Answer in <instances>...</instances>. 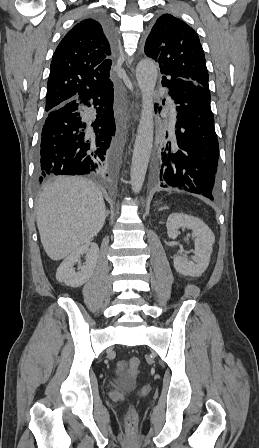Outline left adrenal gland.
Wrapping results in <instances>:
<instances>
[{
  "instance_id": "left-adrenal-gland-1",
  "label": "left adrenal gland",
  "mask_w": 259,
  "mask_h": 448,
  "mask_svg": "<svg viewBox=\"0 0 259 448\" xmlns=\"http://www.w3.org/2000/svg\"><path fill=\"white\" fill-rule=\"evenodd\" d=\"M160 210H169V208H167V206H163V208H160Z\"/></svg>"
}]
</instances>
